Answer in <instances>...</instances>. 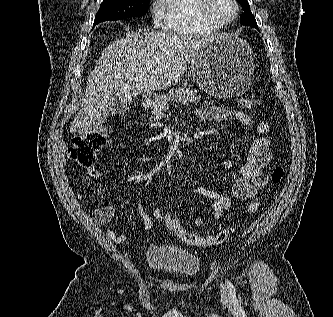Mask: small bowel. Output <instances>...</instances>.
<instances>
[{"label": "small bowel", "instance_id": "c3829d8e", "mask_svg": "<svg viewBox=\"0 0 333 317\" xmlns=\"http://www.w3.org/2000/svg\"><path fill=\"white\" fill-rule=\"evenodd\" d=\"M196 116L206 122H222L233 119L242 126L249 127L252 125V119L248 114L240 110H230L224 107L205 106L196 110ZM270 126L266 121L257 123L255 127V138L251 144L246 159L238 166L234 161L228 160L223 163V168L227 170L236 169L237 176L233 180L231 191L233 197L239 200H248L266 187L268 176L265 168L270 164L272 151L270 148L269 133ZM138 161L148 162V156H139ZM92 178L97 179L99 173L96 169L90 172ZM194 192L211 200L213 218L218 220L225 211L232 209L233 201L231 197L220 192L207 189L202 186H196ZM80 197L79 195H77ZM140 217L145 230H152L154 227L152 218L162 221L163 213L161 210L148 206L142 202L139 207ZM93 220L98 226H105L111 222L114 217V209L110 206L100 207L93 212ZM204 224L202 216H196L193 220L195 227H201ZM106 236L113 242L125 243L128 240L127 234H119L114 229H108Z\"/></svg>", "mask_w": 333, "mask_h": 317}]
</instances>
